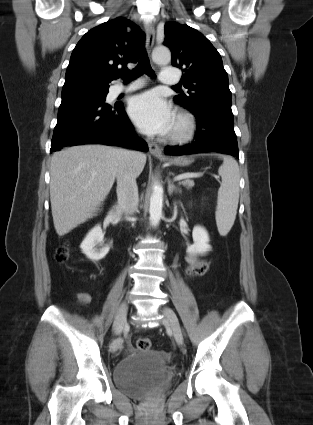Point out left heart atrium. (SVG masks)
Here are the masks:
<instances>
[{
	"label": "left heart atrium",
	"instance_id": "left-heart-atrium-1",
	"mask_svg": "<svg viewBox=\"0 0 313 425\" xmlns=\"http://www.w3.org/2000/svg\"><path fill=\"white\" fill-rule=\"evenodd\" d=\"M128 112L136 126L147 134H166L174 124L170 105L154 91L133 97Z\"/></svg>",
	"mask_w": 313,
	"mask_h": 425
}]
</instances>
